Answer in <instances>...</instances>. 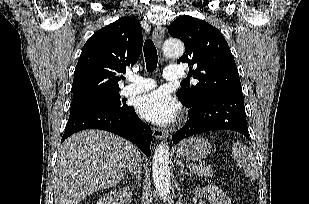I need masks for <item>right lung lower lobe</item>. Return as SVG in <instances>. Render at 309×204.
Returning a JSON list of instances; mask_svg holds the SVG:
<instances>
[{
	"mask_svg": "<svg viewBox=\"0 0 309 204\" xmlns=\"http://www.w3.org/2000/svg\"><path fill=\"white\" fill-rule=\"evenodd\" d=\"M85 129L106 130L120 135L150 156L151 128L137 116L132 106H127L122 112L89 109L70 113L62 141Z\"/></svg>",
	"mask_w": 309,
	"mask_h": 204,
	"instance_id": "right-lung-lower-lobe-1",
	"label": "right lung lower lobe"
}]
</instances>
